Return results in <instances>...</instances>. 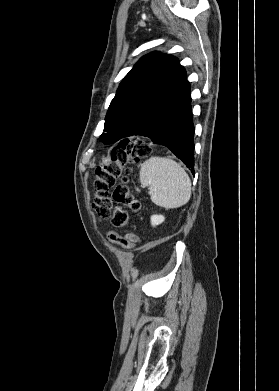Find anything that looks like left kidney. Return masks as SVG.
<instances>
[{
    "label": "left kidney",
    "mask_w": 279,
    "mask_h": 391,
    "mask_svg": "<svg viewBox=\"0 0 279 391\" xmlns=\"http://www.w3.org/2000/svg\"><path fill=\"white\" fill-rule=\"evenodd\" d=\"M164 220H165V217L163 215H152L151 216V224L154 227L163 223Z\"/></svg>",
    "instance_id": "left-kidney-1"
}]
</instances>
